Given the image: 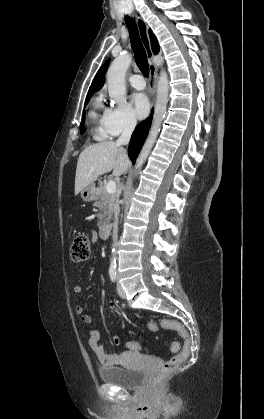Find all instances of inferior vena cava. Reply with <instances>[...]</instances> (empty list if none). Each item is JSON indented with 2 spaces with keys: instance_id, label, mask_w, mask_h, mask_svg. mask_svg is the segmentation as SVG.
Returning <instances> with one entry per match:
<instances>
[{
  "instance_id": "inferior-vena-cava-1",
  "label": "inferior vena cava",
  "mask_w": 264,
  "mask_h": 419,
  "mask_svg": "<svg viewBox=\"0 0 264 419\" xmlns=\"http://www.w3.org/2000/svg\"><path fill=\"white\" fill-rule=\"evenodd\" d=\"M136 127V120L134 118H129L123 128V132L121 136L118 138L116 144L118 146L128 145L131 135ZM119 205L115 206V219L113 224V239H114V246H116L117 241V232H118V215H119Z\"/></svg>"
}]
</instances>
